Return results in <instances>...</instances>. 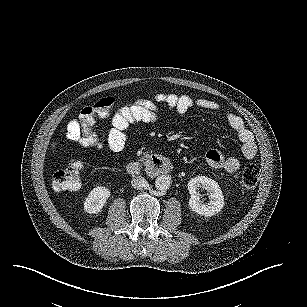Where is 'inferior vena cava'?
Segmentation results:
<instances>
[{"mask_svg":"<svg viewBox=\"0 0 307 307\" xmlns=\"http://www.w3.org/2000/svg\"><path fill=\"white\" fill-rule=\"evenodd\" d=\"M131 185L134 189L142 190L148 187V181L142 176L132 178Z\"/></svg>","mask_w":307,"mask_h":307,"instance_id":"1","label":"inferior vena cava"}]
</instances>
